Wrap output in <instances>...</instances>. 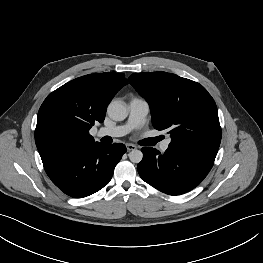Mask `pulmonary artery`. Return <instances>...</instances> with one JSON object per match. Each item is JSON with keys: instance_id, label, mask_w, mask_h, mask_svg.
<instances>
[{"instance_id": "e3ab8cb5", "label": "pulmonary artery", "mask_w": 263, "mask_h": 263, "mask_svg": "<svg viewBox=\"0 0 263 263\" xmlns=\"http://www.w3.org/2000/svg\"><path fill=\"white\" fill-rule=\"evenodd\" d=\"M149 112V104L144 98L132 97L129 102V117L125 124L112 127H103L96 131L97 137H121L134 129L139 128ZM171 139H166L160 146L161 150L168 149Z\"/></svg>"}]
</instances>
